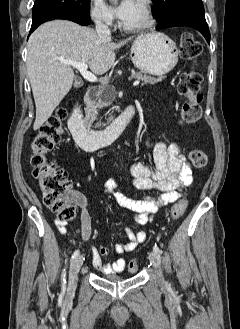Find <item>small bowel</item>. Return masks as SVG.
<instances>
[{
  "mask_svg": "<svg viewBox=\"0 0 240 329\" xmlns=\"http://www.w3.org/2000/svg\"><path fill=\"white\" fill-rule=\"evenodd\" d=\"M146 144L153 147L154 166L138 162L131 164L128 171L136 188L157 193L156 196L134 200L114 191L117 185L115 180H109L105 184L107 193L111 194L122 208L134 214V222L137 226H143L151 222L153 213L161 207L176 202L180 198L183 188L192 182V167L177 145L164 142L155 143L149 137H146ZM77 202L83 208L81 213V236L84 241H89L92 236L91 216L85 207V201L79 198ZM55 226L59 233H67V224L65 222L56 220ZM126 233L129 242L114 245V251L119 254L135 250L146 239L144 231L134 232L130 227H126ZM108 252L109 249L106 247L91 248L94 268L103 274H114L123 271L126 265L124 258L108 264L103 262V257Z\"/></svg>",
  "mask_w": 240,
  "mask_h": 329,
  "instance_id": "small-bowel-1",
  "label": "small bowel"
}]
</instances>
